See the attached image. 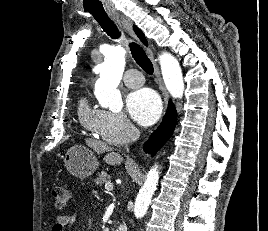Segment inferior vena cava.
<instances>
[{
  "label": "inferior vena cava",
  "instance_id": "inferior-vena-cava-1",
  "mask_svg": "<svg viewBox=\"0 0 268 231\" xmlns=\"http://www.w3.org/2000/svg\"><path fill=\"white\" fill-rule=\"evenodd\" d=\"M135 134H136V136H138V134H139V131H138V130H135Z\"/></svg>",
  "mask_w": 268,
  "mask_h": 231
}]
</instances>
